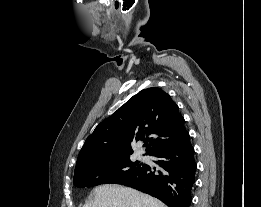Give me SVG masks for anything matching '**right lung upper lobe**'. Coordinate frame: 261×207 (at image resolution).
<instances>
[{
  "instance_id": "1",
  "label": "right lung upper lobe",
  "mask_w": 261,
  "mask_h": 207,
  "mask_svg": "<svg viewBox=\"0 0 261 207\" xmlns=\"http://www.w3.org/2000/svg\"><path fill=\"white\" fill-rule=\"evenodd\" d=\"M184 122L166 92L157 87L144 89L95 128L79 152L75 169L103 158L131 154L133 141L147 139V155L177 146L189 137Z\"/></svg>"
}]
</instances>
